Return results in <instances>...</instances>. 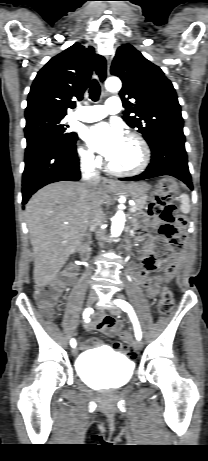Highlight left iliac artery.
Here are the masks:
<instances>
[{
  "label": "left iliac artery",
  "mask_w": 208,
  "mask_h": 461,
  "mask_svg": "<svg viewBox=\"0 0 208 461\" xmlns=\"http://www.w3.org/2000/svg\"><path fill=\"white\" fill-rule=\"evenodd\" d=\"M117 306H119L123 311L127 312L132 320V323L134 325V330H135V336L137 340H140L142 337V332L139 326V322L137 319V316L133 310V308L130 306L129 303H127L124 300H115L114 301Z\"/></svg>",
  "instance_id": "obj_1"
}]
</instances>
